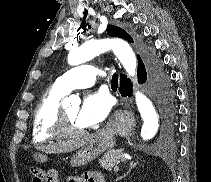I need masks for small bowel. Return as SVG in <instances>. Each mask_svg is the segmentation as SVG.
I'll use <instances>...</instances> for the list:
<instances>
[{
    "label": "small bowel",
    "instance_id": "small-bowel-1",
    "mask_svg": "<svg viewBox=\"0 0 211 182\" xmlns=\"http://www.w3.org/2000/svg\"><path fill=\"white\" fill-rule=\"evenodd\" d=\"M32 182H37L32 174ZM67 182H105L104 177L98 172H88L81 176L69 177Z\"/></svg>",
    "mask_w": 211,
    "mask_h": 182
}]
</instances>
